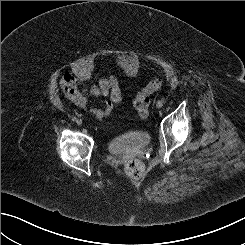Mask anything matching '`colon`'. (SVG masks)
Here are the masks:
<instances>
[{
  "instance_id": "5ec220e1",
  "label": "colon",
  "mask_w": 245,
  "mask_h": 245,
  "mask_svg": "<svg viewBox=\"0 0 245 245\" xmlns=\"http://www.w3.org/2000/svg\"><path fill=\"white\" fill-rule=\"evenodd\" d=\"M161 87V81L158 78H152L145 87L140 90L134 100V106L142 118L149 114L150 97ZM125 173L132 178H140L144 172V165L139 160H130L125 164Z\"/></svg>"
}]
</instances>
